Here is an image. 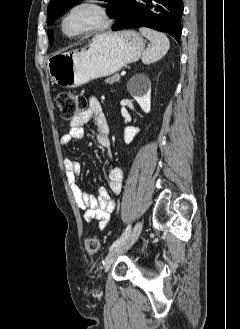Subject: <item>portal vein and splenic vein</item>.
I'll return each instance as SVG.
<instances>
[{"instance_id":"obj_1","label":"portal vein and splenic vein","mask_w":240,"mask_h":329,"mask_svg":"<svg viewBox=\"0 0 240 329\" xmlns=\"http://www.w3.org/2000/svg\"><path fill=\"white\" fill-rule=\"evenodd\" d=\"M122 77L126 75V71H122L120 74Z\"/></svg>"}]
</instances>
